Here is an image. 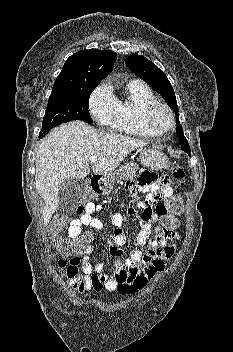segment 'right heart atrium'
<instances>
[{
    "mask_svg": "<svg viewBox=\"0 0 233 352\" xmlns=\"http://www.w3.org/2000/svg\"><path fill=\"white\" fill-rule=\"evenodd\" d=\"M89 109L100 125L110 130L116 129L119 100L109 84L102 83L94 89L89 99Z\"/></svg>",
    "mask_w": 233,
    "mask_h": 352,
    "instance_id": "right-heart-atrium-1",
    "label": "right heart atrium"
}]
</instances>
